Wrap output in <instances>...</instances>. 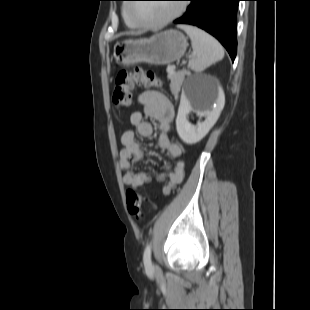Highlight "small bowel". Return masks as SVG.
Here are the masks:
<instances>
[{
  "label": "small bowel",
  "instance_id": "c3829d8e",
  "mask_svg": "<svg viewBox=\"0 0 310 310\" xmlns=\"http://www.w3.org/2000/svg\"><path fill=\"white\" fill-rule=\"evenodd\" d=\"M142 111H135L130 115V122L135 127V132L128 130L121 136L122 148L120 150V168L125 172L123 183L138 190L150 183L153 179L163 182L162 193L165 196L172 194L174 189L182 183L185 178V165L181 160L182 146L169 137L170 124L174 118V107L172 103L161 92L156 90H145L138 98ZM145 118L155 120L159 125V147L168 152L176 159L174 165H166L164 171L154 176L146 172H134V164L144 159V151L135 135L150 137L153 133V125Z\"/></svg>",
  "mask_w": 310,
  "mask_h": 310
}]
</instances>
